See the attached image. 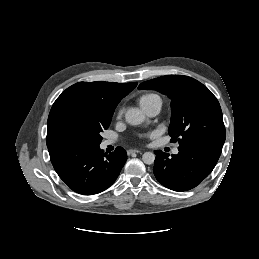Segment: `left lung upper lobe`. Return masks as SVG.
Instances as JSON below:
<instances>
[{
	"instance_id": "left-lung-upper-lobe-1",
	"label": "left lung upper lobe",
	"mask_w": 259,
	"mask_h": 259,
	"mask_svg": "<svg viewBox=\"0 0 259 259\" xmlns=\"http://www.w3.org/2000/svg\"><path fill=\"white\" fill-rule=\"evenodd\" d=\"M139 89L156 90L171 99V141L179 147L196 142L224 144L226 131L222 111L212 92L184 75H167L145 81Z\"/></svg>"
}]
</instances>
